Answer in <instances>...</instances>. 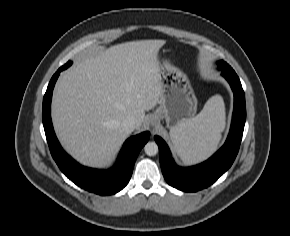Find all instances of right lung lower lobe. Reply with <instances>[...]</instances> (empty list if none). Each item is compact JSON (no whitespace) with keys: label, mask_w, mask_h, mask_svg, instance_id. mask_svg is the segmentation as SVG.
<instances>
[{"label":"right lung lower lobe","mask_w":290,"mask_h":236,"mask_svg":"<svg viewBox=\"0 0 290 236\" xmlns=\"http://www.w3.org/2000/svg\"><path fill=\"white\" fill-rule=\"evenodd\" d=\"M64 70L62 67L53 75L43 98L42 120L50 152L60 170L79 187L99 195L119 192L129 182L133 166L141 148L150 138L149 132L129 138L118 157L117 163L109 170H97L81 166L60 146L52 126L50 105L55 82Z\"/></svg>","instance_id":"98d812e1"}]
</instances>
